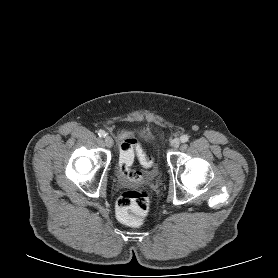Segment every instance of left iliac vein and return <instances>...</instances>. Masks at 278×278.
Instances as JSON below:
<instances>
[{
    "label": "left iliac vein",
    "instance_id": "1",
    "mask_svg": "<svg viewBox=\"0 0 278 278\" xmlns=\"http://www.w3.org/2000/svg\"><path fill=\"white\" fill-rule=\"evenodd\" d=\"M179 145H180V139L179 138H175V139L172 140L171 147L178 148Z\"/></svg>",
    "mask_w": 278,
    "mask_h": 278
}]
</instances>
